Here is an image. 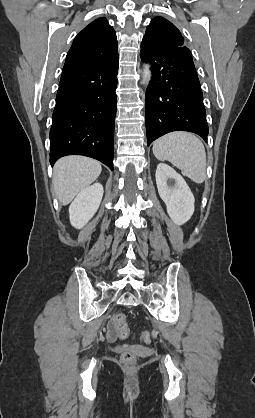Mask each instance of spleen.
<instances>
[{"label":"spleen","mask_w":255,"mask_h":418,"mask_svg":"<svg viewBox=\"0 0 255 418\" xmlns=\"http://www.w3.org/2000/svg\"><path fill=\"white\" fill-rule=\"evenodd\" d=\"M153 154L169 161L195 183L206 179V152L202 141L194 134L183 131L168 133L153 143Z\"/></svg>","instance_id":"3e777b00"}]
</instances>
